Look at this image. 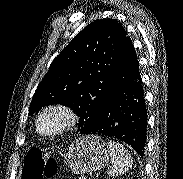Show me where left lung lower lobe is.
I'll use <instances>...</instances> for the list:
<instances>
[{
	"label": "left lung lower lobe",
	"instance_id": "obj_1",
	"mask_svg": "<svg viewBox=\"0 0 183 179\" xmlns=\"http://www.w3.org/2000/svg\"><path fill=\"white\" fill-rule=\"evenodd\" d=\"M147 110L133 44L128 38L109 100L88 134L104 135L129 144L143 157Z\"/></svg>",
	"mask_w": 183,
	"mask_h": 179
}]
</instances>
